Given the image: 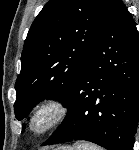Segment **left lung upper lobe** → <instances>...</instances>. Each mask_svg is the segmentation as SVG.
Listing matches in <instances>:
<instances>
[{
	"instance_id": "obj_1",
	"label": "left lung upper lobe",
	"mask_w": 139,
	"mask_h": 150,
	"mask_svg": "<svg viewBox=\"0 0 139 150\" xmlns=\"http://www.w3.org/2000/svg\"><path fill=\"white\" fill-rule=\"evenodd\" d=\"M116 0H50L31 25L15 83L20 121L44 99L65 105ZM24 131V127L22 129Z\"/></svg>"
}]
</instances>
